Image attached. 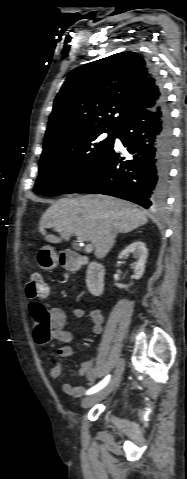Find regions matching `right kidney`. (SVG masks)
<instances>
[{
    "instance_id": "right-kidney-1",
    "label": "right kidney",
    "mask_w": 187,
    "mask_h": 479,
    "mask_svg": "<svg viewBox=\"0 0 187 479\" xmlns=\"http://www.w3.org/2000/svg\"><path fill=\"white\" fill-rule=\"evenodd\" d=\"M129 254H132L136 259V262L132 264L134 269V279L138 280L142 277L145 271V264L148 257V249L145 246L144 242L136 241L127 246L120 254L119 259L128 257ZM119 288H127L128 286L122 284H116Z\"/></svg>"
}]
</instances>
